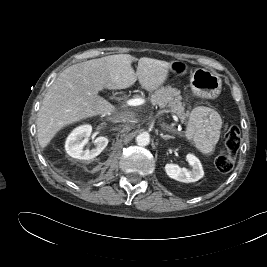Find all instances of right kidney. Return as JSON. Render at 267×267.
Here are the masks:
<instances>
[{
	"mask_svg": "<svg viewBox=\"0 0 267 267\" xmlns=\"http://www.w3.org/2000/svg\"><path fill=\"white\" fill-rule=\"evenodd\" d=\"M92 132L91 125H82L75 128L67 137L65 142V150L73 158L80 160H90L98 156L108 145V139L99 136L95 139L96 147L84 150L83 147L88 142Z\"/></svg>",
	"mask_w": 267,
	"mask_h": 267,
	"instance_id": "1",
	"label": "right kidney"
}]
</instances>
